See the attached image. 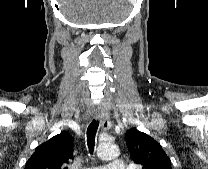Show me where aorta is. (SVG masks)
Listing matches in <instances>:
<instances>
[{
  "instance_id": "1",
  "label": "aorta",
  "mask_w": 208,
  "mask_h": 169,
  "mask_svg": "<svg viewBox=\"0 0 208 169\" xmlns=\"http://www.w3.org/2000/svg\"><path fill=\"white\" fill-rule=\"evenodd\" d=\"M97 155L102 160H112L120 155V150L115 144L101 143L98 146Z\"/></svg>"
}]
</instances>
